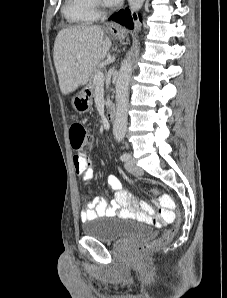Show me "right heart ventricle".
<instances>
[{
	"instance_id": "e07e8e85",
	"label": "right heart ventricle",
	"mask_w": 227,
	"mask_h": 298,
	"mask_svg": "<svg viewBox=\"0 0 227 298\" xmlns=\"http://www.w3.org/2000/svg\"><path fill=\"white\" fill-rule=\"evenodd\" d=\"M62 12L70 23L76 25L89 24L98 18L93 0H65Z\"/></svg>"
}]
</instances>
